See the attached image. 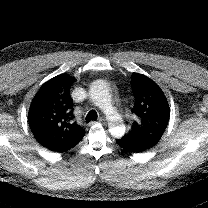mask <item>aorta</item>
I'll list each match as a JSON object with an SVG mask.
<instances>
[{
  "label": "aorta",
  "instance_id": "aorta-1",
  "mask_svg": "<svg viewBox=\"0 0 208 208\" xmlns=\"http://www.w3.org/2000/svg\"><path fill=\"white\" fill-rule=\"evenodd\" d=\"M90 98L107 116L109 120V132L116 138H121L125 133V126L121 116L112 105V97L107 83L96 80L90 87Z\"/></svg>",
  "mask_w": 208,
  "mask_h": 208
}]
</instances>
